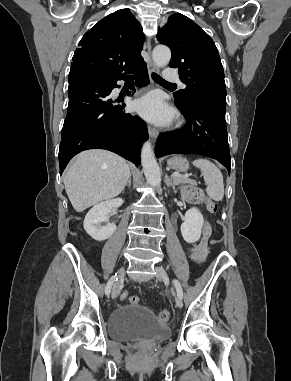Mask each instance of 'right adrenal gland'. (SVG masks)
<instances>
[{"mask_svg": "<svg viewBox=\"0 0 291 381\" xmlns=\"http://www.w3.org/2000/svg\"><path fill=\"white\" fill-rule=\"evenodd\" d=\"M127 185H128L129 187H131V174L129 175V179H128V181H127Z\"/></svg>", "mask_w": 291, "mask_h": 381, "instance_id": "1", "label": "right adrenal gland"}]
</instances>
